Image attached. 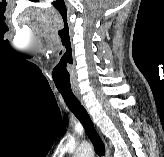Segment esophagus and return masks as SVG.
I'll return each mask as SVG.
<instances>
[{"mask_svg":"<svg viewBox=\"0 0 164 157\" xmlns=\"http://www.w3.org/2000/svg\"><path fill=\"white\" fill-rule=\"evenodd\" d=\"M73 93L75 94V96L77 97V99L80 101V103L84 106L85 103H84V100H83V98H82V95L80 94V91L74 89V90H73ZM108 155H109V152H108V148H107V146H106V156L108 157Z\"/></svg>","mask_w":164,"mask_h":157,"instance_id":"obj_1","label":"esophagus"}]
</instances>
